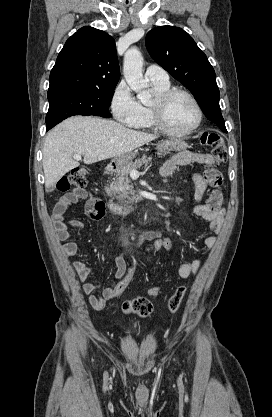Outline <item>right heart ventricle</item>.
I'll use <instances>...</instances> for the list:
<instances>
[{
	"label": "right heart ventricle",
	"instance_id": "right-heart-ventricle-1",
	"mask_svg": "<svg viewBox=\"0 0 272 417\" xmlns=\"http://www.w3.org/2000/svg\"><path fill=\"white\" fill-rule=\"evenodd\" d=\"M151 84H152L154 91L157 94L170 88L169 83L166 85H159V84H154V83H151ZM140 106H141L140 116L137 119V121L131 125V127L135 129H140V130H153L155 126L151 119L150 106L142 105V104H140Z\"/></svg>",
	"mask_w": 272,
	"mask_h": 417
}]
</instances>
